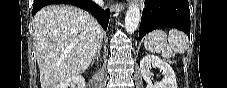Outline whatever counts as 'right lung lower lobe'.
<instances>
[{
	"label": "right lung lower lobe",
	"mask_w": 227,
	"mask_h": 88,
	"mask_svg": "<svg viewBox=\"0 0 227 88\" xmlns=\"http://www.w3.org/2000/svg\"><path fill=\"white\" fill-rule=\"evenodd\" d=\"M54 3H67L85 9L95 15L104 30L107 29L110 16L109 9L102 10L91 0H34L32 15L34 16L42 7Z\"/></svg>",
	"instance_id": "right-lung-lower-lobe-1"
}]
</instances>
